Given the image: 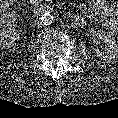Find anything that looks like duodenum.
I'll return each mask as SVG.
<instances>
[{"mask_svg": "<svg viewBox=\"0 0 118 118\" xmlns=\"http://www.w3.org/2000/svg\"><path fill=\"white\" fill-rule=\"evenodd\" d=\"M34 1H35V11L38 14H43L46 11L49 10V6L47 4H45V3H43L42 1H40V0H34ZM73 22L78 27L83 25V19L80 16H76L74 18Z\"/></svg>", "mask_w": 118, "mask_h": 118, "instance_id": "obj_1", "label": "duodenum"}]
</instances>
